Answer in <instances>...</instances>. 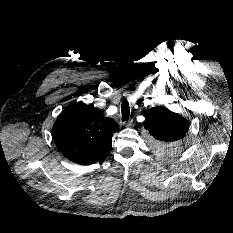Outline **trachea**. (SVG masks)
Listing matches in <instances>:
<instances>
[{"label":"trachea","instance_id":"1","mask_svg":"<svg viewBox=\"0 0 233 233\" xmlns=\"http://www.w3.org/2000/svg\"><path fill=\"white\" fill-rule=\"evenodd\" d=\"M121 112H122V121L123 122L128 121L129 114H130V108H129V103L127 100L122 101Z\"/></svg>","mask_w":233,"mask_h":233}]
</instances>
